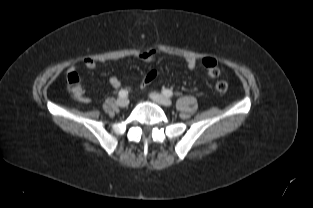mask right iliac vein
Wrapping results in <instances>:
<instances>
[{"label": "right iliac vein", "mask_w": 313, "mask_h": 208, "mask_svg": "<svg viewBox=\"0 0 313 208\" xmlns=\"http://www.w3.org/2000/svg\"><path fill=\"white\" fill-rule=\"evenodd\" d=\"M117 104L120 107H127L129 104V100L126 97H120L117 100Z\"/></svg>", "instance_id": "right-iliac-vein-1"}]
</instances>
